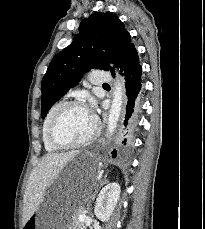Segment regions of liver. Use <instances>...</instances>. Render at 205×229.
<instances>
[{"label": "liver", "instance_id": "6515ba94", "mask_svg": "<svg viewBox=\"0 0 205 229\" xmlns=\"http://www.w3.org/2000/svg\"><path fill=\"white\" fill-rule=\"evenodd\" d=\"M79 153V151H71L60 154H47L40 160L38 166L33 169L23 200L24 224L43 202L46 189L54 183L66 164Z\"/></svg>", "mask_w": 205, "mask_h": 229}]
</instances>
